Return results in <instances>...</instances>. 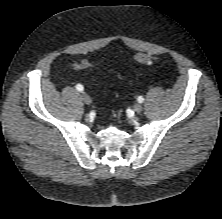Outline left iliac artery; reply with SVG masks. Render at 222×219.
Listing matches in <instances>:
<instances>
[{"mask_svg": "<svg viewBox=\"0 0 222 219\" xmlns=\"http://www.w3.org/2000/svg\"><path fill=\"white\" fill-rule=\"evenodd\" d=\"M137 100L139 103H142L144 101V98L142 96H139Z\"/></svg>", "mask_w": 222, "mask_h": 219, "instance_id": "obj_1", "label": "left iliac artery"}]
</instances>
